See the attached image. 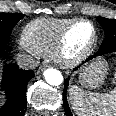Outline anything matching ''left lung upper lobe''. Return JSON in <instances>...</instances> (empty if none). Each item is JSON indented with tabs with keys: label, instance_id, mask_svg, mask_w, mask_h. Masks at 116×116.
Masks as SVG:
<instances>
[{
	"label": "left lung upper lobe",
	"instance_id": "obj_1",
	"mask_svg": "<svg viewBox=\"0 0 116 116\" xmlns=\"http://www.w3.org/2000/svg\"><path fill=\"white\" fill-rule=\"evenodd\" d=\"M96 19L105 31V39L99 51L116 49V19H107L101 16H98Z\"/></svg>",
	"mask_w": 116,
	"mask_h": 116
}]
</instances>
